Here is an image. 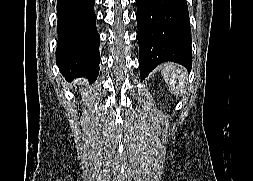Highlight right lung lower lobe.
Returning <instances> with one entry per match:
<instances>
[{
  "label": "right lung lower lobe",
  "instance_id": "right-lung-lower-lobe-1",
  "mask_svg": "<svg viewBox=\"0 0 253 181\" xmlns=\"http://www.w3.org/2000/svg\"><path fill=\"white\" fill-rule=\"evenodd\" d=\"M95 0H57L58 44L56 63L67 78L96 80L100 36L96 29Z\"/></svg>",
  "mask_w": 253,
  "mask_h": 181
}]
</instances>
